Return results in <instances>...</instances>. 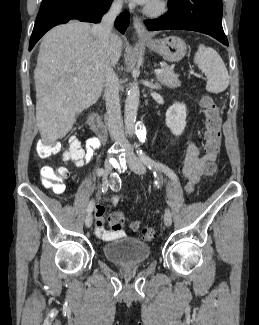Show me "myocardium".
I'll return each mask as SVG.
<instances>
[{
	"label": "myocardium",
	"mask_w": 259,
	"mask_h": 325,
	"mask_svg": "<svg viewBox=\"0 0 259 325\" xmlns=\"http://www.w3.org/2000/svg\"><path fill=\"white\" fill-rule=\"evenodd\" d=\"M168 11L167 0H153L146 8L145 13L151 17H160Z\"/></svg>",
	"instance_id": "1"
}]
</instances>
